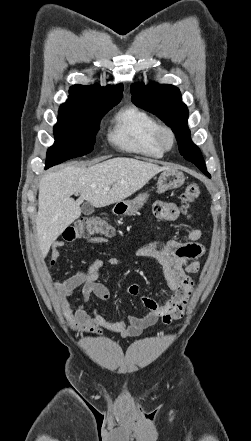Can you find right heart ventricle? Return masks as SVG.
<instances>
[{"label":"right heart ventricle","mask_w":251,"mask_h":441,"mask_svg":"<svg viewBox=\"0 0 251 441\" xmlns=\"http://www.w3.org/2000/svg\"><path fill=\"white\" fill-rule=\"evenodd\" d=\"M157 124L148 112L138 106L127 105L113 116L108 140L124 152L159 159L164 151L154 140Z\"/></svg>","instance_id":"e07e8e85"}]
</instances>
